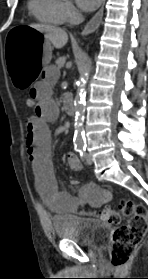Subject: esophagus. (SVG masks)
Wrapping results in <instances>:
<instances>
[{"label": "esophagus", "mask_w": 148, "mask_h": 279, "mask_svg": "<svg viewBox=\"0 0 148 279\" xmlns=\"http://www.w3.org/2000/svg\"><path fill=\"white\" fill-rule=\"evenodd\" d=\"M104 4L105 0H103L102 6L97 11V13L86 24L85 28L82 31V35H88L90 33H93L100 26L103 17Z\"/></svg>", "instance_id": "1"}]
</instances>
